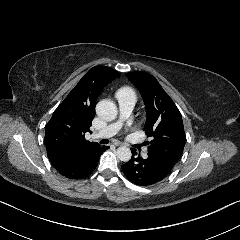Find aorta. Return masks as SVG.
<instances>
[{"mask_svg":"<svg viewBox=\"0 0 240 240\" xmlns=\"http://www.w3.org/2000/svg\"><path fill=\"white\" fill-rule=\"evenodd\" d=\"M96 114L105 121H112L117 116V107L109 99L100 100L96 104ZM117 157L121 161H129L131 158V150L127 146H120L117 148Z\"/></svg>","mask_w":240,"mask_h":240,"instance_id":"1","label":"aorta"}]
</instances>
